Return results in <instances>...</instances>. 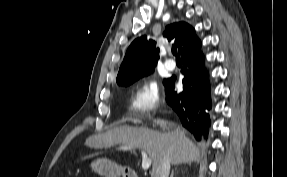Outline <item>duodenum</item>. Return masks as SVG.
Here are the masks:
<instances>
[{"label":"duodenum","instance_id":"duodenum-1","mask_svg":"<svg viewBox=\"0 0 287 177\" xmlns=\"http://www.w3.org/2000/svg\"><path fill=\"white\" fill-rule=\"evenodd\" d=\"M122 177H138L129 168L125 167L124 172H122Z\"/></svg>","mask_w":287,"mask_h":177}]
</instances>
